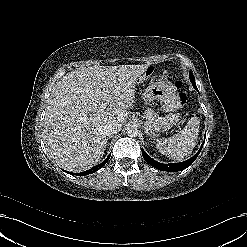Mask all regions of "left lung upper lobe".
I'll use <instances>...</instances> for the list:
<instances>
[{
  "label": "left lung upper lobe",
  "instance_id": "obj_1",
  "mask_svg": "<svg viewBox=\"0 0 247 247\" xmlns=\"http://www.w3.org/2000/svg\"><path fill=\"white\" fill-rule=\"evenodd\" d=\"M189 75H190V81H191V80H194V75H193V73L190 72Z\"/></svg>",
  "mask_w": 247,
  "mask_h": 247
}]
</instances>
